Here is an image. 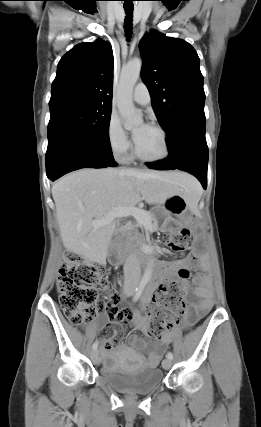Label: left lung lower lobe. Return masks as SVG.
<instances>
[{
  "mask_svg": "<svg viewBox=\"0 0 261 427\" xmlns=\"http://www.w3.org/2000/svg\"><path fill=\"white\" fill-rule=\"evenodd\" d=\"M205 125L204 114H185L179 117L166 131L169 156L146 165L156 170L179 169L189 172L206 189L208 147Z\"/></svg>",
  "mask_w": 261,
  "mask_h": 427,
  "instance_id": "0a47b994",
  "label": "left lung lower lobe"
}]
</instances>
